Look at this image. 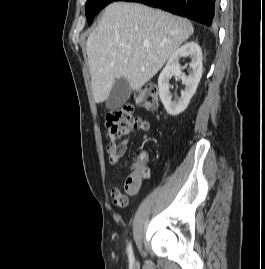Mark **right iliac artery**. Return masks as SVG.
<instances>
[{"mask_svg": "<svg viewBox=\"0 0 265 269\" xmlns=\"http://www.w3.org/2000/svg\"><path fill=\"white\" fill-rule=\"evenodd\" d=\"M127 252H128L129 261L131 263H133L134 262V255H133L131 243L128 244Z\"/></svg>", "mask_w": 265, "mask_h": 269, "instance_id": "82829eb1", "label": "right iliac artery"}]
</instances>
